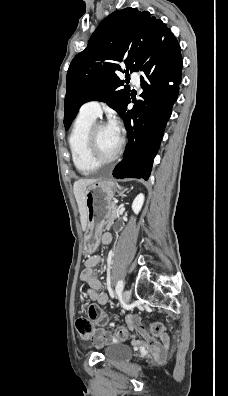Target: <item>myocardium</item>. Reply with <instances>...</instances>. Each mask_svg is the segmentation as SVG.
<instances>
[{
	"label": "myocardium",
	"instance_id": "1",
	"mask_svg": "<svg viewBox=\"0 0 228 396\" xmlns=\"http://www.w3.org/2000/svg\"><path fill=\"white\" fill-rule=\"evenodd\" d=\"M107 124L103 121L94 122L90 127L88 134H87V142H86V151L89 157V160L96 166H104L113 163L116 161L119 156L121 155L124 147V138L119 136V145L116 152L109 158H101L97 152V145H96V134L97 131Z\"/></svg>",
	"mask_w": 228,
	"mask_h": 396
}]
</instances>
